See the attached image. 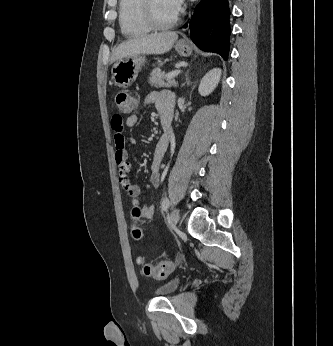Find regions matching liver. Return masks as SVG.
<instances>
[{"mask_svg": "<svg viewBox=\"0 0 333 346\" xmlns=\"http://www.w3.org/2000/svg\"><path fill=\"white\" fill-rule=\"evenodd\" d=\"M178 39L175 32L154 33L129 39L117 46L112 54V62L125 57L141 54H164L168 52Z\"/></svg>", "mask_w": 333, "mask_h": 346, "instance_id": "liver-1", "label": "liver"}]
</instances>
